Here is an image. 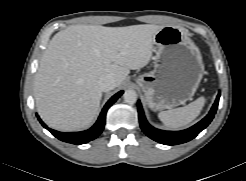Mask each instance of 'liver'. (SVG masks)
I'll return each instance as SVG.
<instances>
[{"instance_id":"1","label":"liver","mask_w":246,"mask_h":181,"mask_svg":"<svg viewBox=\"0 0 246 181\" xmlns=\"http://www.w3.org/2000/svg\"><path fill=\"white\" fill-rule=\"evenodd\" d=\"M163 26L71 25L56 33L35 75L36 108L53 129L71 132L90 125L102 98L98 79L111 74L116 87L130 70L146 66Z\"/></svg>"}]
</instances>
